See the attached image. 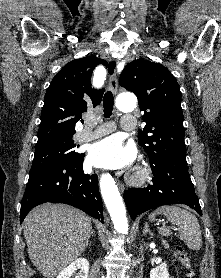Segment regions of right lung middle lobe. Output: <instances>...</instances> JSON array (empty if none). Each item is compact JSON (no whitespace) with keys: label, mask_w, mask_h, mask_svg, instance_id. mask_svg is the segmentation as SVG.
Returning <instances> with one entry per match:
<instances>
[{"label":"right lung middle lobe","mask_w":221,"mask_h":278,"mask_svg":"<svg viewBox=\"0 0 221 278\" xmlns=\"http://www.w3.org/2000/svg\"><path fill=\"white\" fill-rule=\"evenodd\" d=\"M74 147L72 136L38 142L30 174L53 163L78 158L81 154L75 152Z\"/></svg>","instance_id":"1"}]
</instances>
